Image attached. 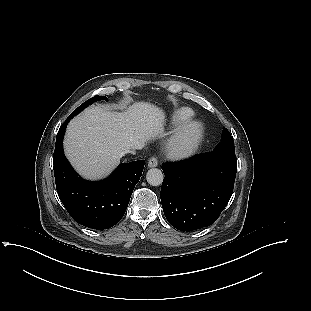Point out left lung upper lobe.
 <instances>
[{"label": "left lung upper lobe", "mask_w": 311, "mask_h": 311, "mask_svg": "<svg viewBox=\"0 0 311 311\" xmlns=\"http://www.w3.org/2000/svg\"><path fill=\"white\" fill-rule=\"evenodd\" d=\"M212 152L235 155L234 140L226 128L223 129L221 142L213 149Z\"/></svg>", "instance_id": "5c2ea615"}]
</instances>
